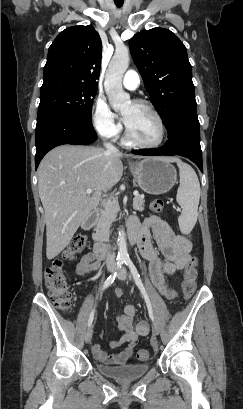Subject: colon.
Returning <instances> with one entry per match:
<instances>
[{"label":"colon","instance_id":"colon-1","mask_svg":"<svg viewBox=\"0 0 243 409\" xmlns=\"http://www.w3.org/2000/svg\"><path fill=\"white\" fill-rule=\"evenodd\" d=\"M163 208L164 204L160 199H154L149 204V209L154 214H160ZM186 237H191V235L187 234ZM85 244V236H75L64 253L65 257L69 259L74 258L84 248ZM197 265L198 259L193 257L184 269L183 295L185 299H189L195 290L198 275ZM44 279L48 294L54 305L62 311L70 310L72 307V294L68 287L61 260L55 259L45 267ZM137 358L141 361H147L150 358V352L146 349H141L137 354Z\"/></svg>","mask_w":243,"mask_h":409}]
</instances>
